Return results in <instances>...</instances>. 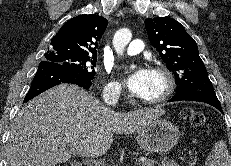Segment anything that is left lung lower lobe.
<instances>
[{"label":"left lung lower lobe","mask_w":231,"mask_h":166,"mask_svg":"<svg viewBox=\"0 0 231 166\" xmlns=\"http://www.w3.org/2000/svg\"><path fill=\"white\" fill-rule=\"evenodd\" d=\"M182 100L204 102L214 106L215 108H217L219 111L222 112L221 104L214 90L199 91L196 89H191L177 94L174 98L170 100V102L182 101Z\"/></svg>","instance_id":"obj_1"}]
</instances>
